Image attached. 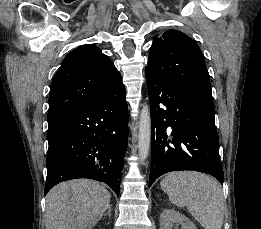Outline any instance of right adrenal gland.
Segmentation results:
<instances>
[{"mask_svg": "<svg viewBox=\"0 0 261 229\" xmlns=\"http://www.w3.org/2000/svg\"><path fill=\"white\" fill-rule=\"evenodd\" d=\"M111 211H112V207H111V205H110V207H108L107 213H105V215H108L109 219H111V217H112Z\"/></svg>", "mask_w": 261, "mask_h": 229, "instance_id": "2a0ac1e0", "label": "right adrenal gland"}]
</instances>
